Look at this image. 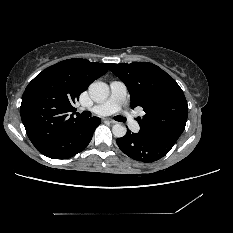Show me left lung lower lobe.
Segmentation results:
<instances>
[{"label":"left lung lower lobe","instance_id":"1","mask_svg":"<svg viewBox=\"0 0 233 233\" xmlns=\"http://www.w3.org/2000/svg\"><path fill=\"white\" fill-rule=\"evenodd\" d=\"M123 153L142 162H154L165 156L173 147V143L149 138L141 133L127 130L124 137L116 139Z\"/></svg>","mask_w":233,"mask_h":233}]
</instances>
